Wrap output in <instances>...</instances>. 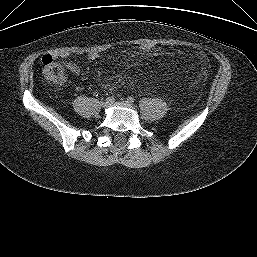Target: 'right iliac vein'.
<instances>
[{"instance_id": "1", "label": "right iliac vein", "mask_w": 257, "mask_h": 257, "mask_svg": "<svg viewBox=\"0 0 257 257\" xmlns=\"http://www.w3.org/2000/svg\"><path fill=\"white\" fill-rule=\"evenodd\" d=\"M100 105H101L102 108H107V107L110 106V103L107 102V101H102V102L100 103Z\"/></svg>"}]
</instances>
